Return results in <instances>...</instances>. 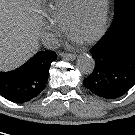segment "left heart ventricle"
Instances as JSON below:
<instances>
[{
    "instance_id": "obj_1",
    "label": "left heart ventricle",
    "mask_w": 135,
    "mask_h": 135,
    "mask_svg": "<svg viewBox=\"0 0 135 135\" xmlns=\"http://www.w3.org/2000/svg\"><path fill=\"white\" fill-rule=\"evenodd\" d=\"M104 1L88 0L86 13L72 28L73 39L83 42L95 34L100 24Z\"/></svg>"
}]
</instances>
